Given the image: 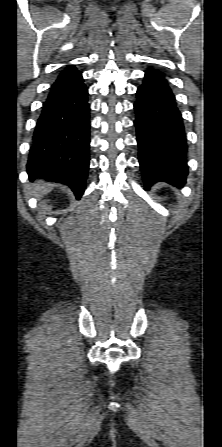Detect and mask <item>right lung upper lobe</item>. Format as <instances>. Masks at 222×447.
I'll return each instance as SVG.
<instances>
[{
    "label": "right lung upper lobe",
    "mask_w": 222,
    "mask_h": 447,
    "mask_svg": "<svg viewBox=\"0 0 222 447\" xmlns=\"http://www.w3.org/2000/svg\"><path fill=\"white\" fill-rule=\"evenodd\" d=\"M66 70V69H65ZM65 70H63L61 73H60V75L62 74V73H64L65 72Z\"/></svg>",
    "instance_id": "cb5924a9"
}]
</instances>
